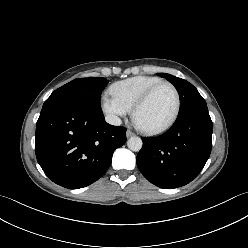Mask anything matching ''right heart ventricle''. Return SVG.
Masks as SVG:
<instances>
[{"label":"right heart ventricle","instance_id":"right-heart-ventricle-1","mask_svg":"<svg viewBox=\"0 0 248 248\" xmlns=\"http://www.w3.org/2000/svg\"><path fill=\"white\" fill-rule=\"evenodd\" d=\"M160 81V78L154 76H134L114 83L111 86V92L131 110L142 94Z\"/></svg>","mask_w":248,"mask_h":248}]
</instances>
